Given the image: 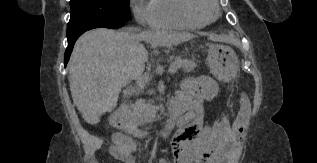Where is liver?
I'll use <instances>...</instances> for the list:
<instances>
[{"instance_id": "6515ba94", "label": "liver", "mask_w": 317, "mask_h": 163, "mask_svg": "<svg viewBox=\"0 0 317 163\" xmlns=\"http://www.w3.org/2000/svg\"><path fill=\"white\" fill-rule=\"evenodd\" d=\"M195 36L190 33L115 31L97 28L76 42L69 62V82L74 105L84 120L95 125L117 105L121 89L139 79L148 60L141 42L156 47L179 45Z\"/></svg>"}]
</instances>
